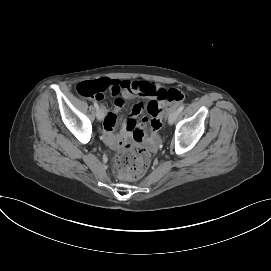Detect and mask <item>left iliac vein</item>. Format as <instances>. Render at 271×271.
Returning a JSON list of instances; mask_svg holds the SVG:
<instances>
[{"instance_id": "obj_1", "label": "left iliac vein", "mask_w": 271, "mask_h": 271, "mask_svg": "<svg viewBox=\"0 0 271 271\" xmlns=\"http://www.w3.org/2000/svg\"><path fill=\"white\" fill-rule=\"evenodd\" d=\"M178 115H179L178 110H173V111L170 113L169 117H168V123H169V124H173V123L176 121Z\"/></svg>"}]
</instances>
